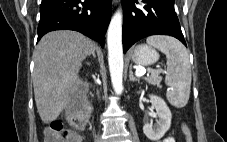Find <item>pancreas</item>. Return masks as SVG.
Returning <instances> with one entry per match:
<instances>
[{"label":"pancreas","instance_id":"cf45deb5","mask_svg":"<svg viewBox=\"0 0 227 142\" xmlns=\"http://www.w3.org/2000/svg\"><path fill=\"white\" fill-rule=\"evenodd\" d=\"M144 80L152 85L160 86L162 77L158 74H151L150 76L145 77Z\"/></svg>","mask_w":227,"mask_h":142}]
</instances>
